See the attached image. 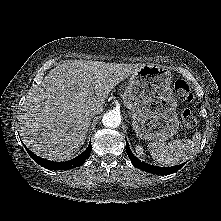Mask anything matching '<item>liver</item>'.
<instances>
[{"instance_id": "obj_1", "label": "liver", "mask_w": 221, "mask_h": 221, "mask_svg": "<svg viewBox=\"0 0 221 221\" xmlns=\"http://www.w3.org/2000/svg\"><path fill=\"white\" fill-rule=\"evenodd\" d=\"M142 66L83 60L57 65L23 105L19 128L24 144L42 158L71 159L86 139L89 111H102L111 90Z\"/></svg>"}]
</instances>
